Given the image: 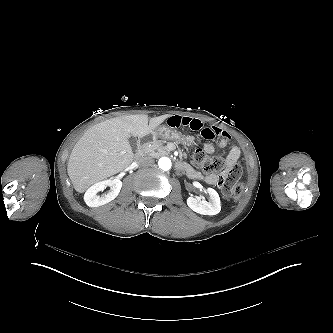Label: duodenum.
<instances>
[{
    "label": "duodenum",
    "instance_id": "410a0bca",
    "mask_svg": "<svg viewBox=\"0 0 333 333\" xmlns=\"http://www.w3.org/2000/svg\"><path fill=\"white\" fill-rule=\"evenodd\" d=\"M145 148H146V141H145V138H142L139 143L137 155L140 156L144 152ZM177 168L181 171H185L188 174V176H190L192 178L197 177L196 172L190 166H188L184 163H179L177 165Z\"/></svg>",
    "mask_w": 333,
    "mask_h": 333
}]
</instances>
